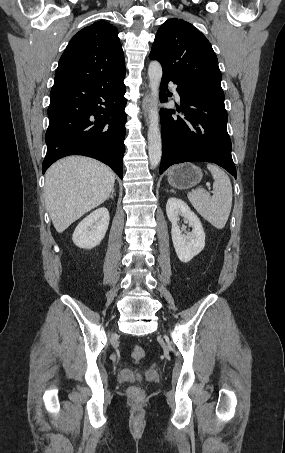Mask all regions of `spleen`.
<instances>
[{
	"label": "spleen",
	"instance_id": "obj_1",
	"mask_svg": "<svg viewBox=\"0 0 285 453\" xmlns=\"http://www.w3.org/2000/svg\"><path fill=\"white\" fill-rule=\"evenodd\" d=\"M211 172L213 195L204 189L192 190L187 194L195 210L211 225L223 229L227 223L232 207V185L228 175L218 166L207 164Z\"/></svg>",
	"mask_w": 285,
	"mask_h": 453
}]
</instances>
